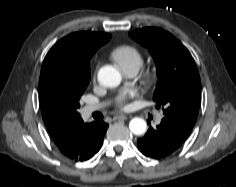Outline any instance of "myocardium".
<instances>
[{
	"mask_svg": "<svg viewBox=\"0 0 236 187\" xmlns=\"http://www.w3.org/2000/svg\"><path fill=\"white\" fill-rule=\"evenodd\" d=\"M142 84L149 88L156 82V74L152 69H145L141 75Z\"/></svg>",
	"mask_w": 236,
	"mask_h": 187,
	"instance_id": "myocardium-1",
	"label": "myocardium"
}]
</instances>
